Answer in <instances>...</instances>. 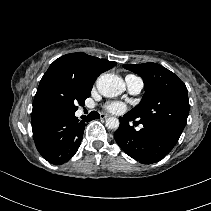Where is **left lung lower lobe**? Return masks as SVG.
<instances>
[{"instance_id": "obj_1", "label": "left lung lower lobe", "mask_w": 211, "mask_h": 211, "mask_svg": "<svg viewBox=\"0 0 211 211\" xmlns=\"http://www.w3.org/2000/svg\"><path fill=\"white\" fill-rule=\"evenodd\" d=\"M119 120L115 141L127 155L140 163L152 164L162 160L179 140V137L161 127L143 124L144 127L136 131L129 125V121L135 120L129 113Z\"/></svg>"}]
</instances>
